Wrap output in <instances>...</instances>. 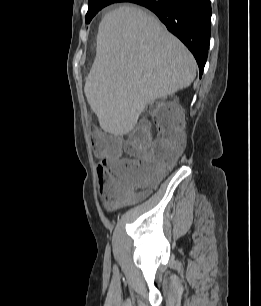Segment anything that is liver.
I'll return each mask as SVG.
<instances>
[{
    "label": "liver",
    "instance_id": "obj_1",
    "mask_svg": "<svg viewBox=\"0 0 261 306\" xmlns=\"http://www.w3.org/2000/svg\"><path fill=\"white\" fill-rule=\"evenodd\" d=\"M196 68L193 55L156 17L121 6L99 24L84 92L101 128L124 135L148 104L188 87Z\"/></svg>",
    "mask_w": 261,
    "mask_h": 306
}]
</instances>
